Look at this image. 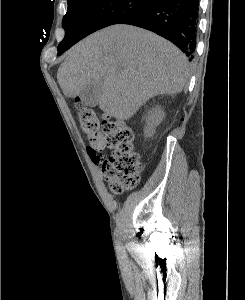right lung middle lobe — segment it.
<instances>
[{
	"instance_id": "dd1d6c3e",
	"label": "right lung middle lobe",
	"mask_w": 245,
	"mask_h": 300,
	"mask_svg": "<svg viewBox=\"0 0 245 300\" xmlns=\"http://www.w3.org/2000/svg\"><path fill=\"white\" fill-rule=\"evenodd\" d=\"M153 0H68L62 26L65 37L58 46V55L87 35L117 24Z\"/></svg>"
}]
</instances>
